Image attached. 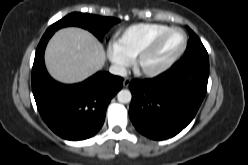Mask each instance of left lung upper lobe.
<instances>
[{
	"instance_id": "1",
	"label": "left lung upper lobe",
	"mask_w": 248,
	"mask_h": 165,
	"mask_svg": "<svg viewBox=\"0 0 248 165\" xmlns=\"http://www.w3.org/2000/svg\"><path fill=\"white\" fill-rule=\"evenodd\" d=\"M187 29L190 34V39L188 41V45L184 55L189 54L196 50L205 49L199 37L189 27H187Z\"/></svg>"
}]
</instances>
